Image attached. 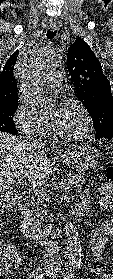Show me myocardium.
<instances>
[{
	"label": "myocardium",
	"mask_w": 113,
	"mask_h": 279,
	"mask_svg": "<svg viewBox=\"0 0 113 279\" xmlns=\"http://www.w3.org/2000/svg\"><path fill=\"white\" fill-rule=\"evenodd\" d=\"M65 105L72 106L78 111V113L80 114V117H81L82 127L78 133L73 134V135H62V134L58 133L57 131H54L55 136L61 140L67 141V142L78 141V140H81V139L87 137L92 129V122H91V118H90L87 110L85 109V107L76 100H67Z\"/></svg>",
	"instance_id": "1"
}]
</instances>
